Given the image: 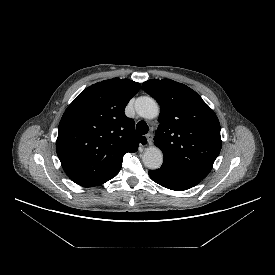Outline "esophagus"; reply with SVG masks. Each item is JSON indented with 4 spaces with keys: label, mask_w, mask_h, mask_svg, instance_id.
<instances>
[{
    "label": "esophagus",
    "mask_w": 275,
    "mask_h": 275,
    "mask_svg": "<svg viewBox=\"0 0 275 275\" xmlns=\"http://www.w3.org/2000/svg\"><path fill=\"white\" fill-rule=\"evenodd\" d=\"M146 139H147V144L149 146L153 144V134L152 133L147 134Z\"/></svg>",
    "instance_id": "34e87169"
}]
</instances>
